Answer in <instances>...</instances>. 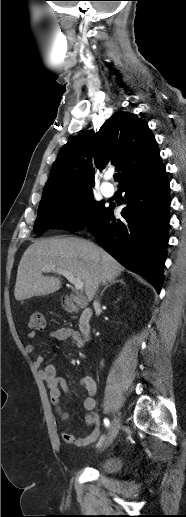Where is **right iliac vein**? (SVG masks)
Listing matches in <instances>:
<instances>
[{
  "instance_id": "63e3f726",
  "label": "right iliac vein",
  "mask_w": 186,
  "mask_h": 517,
  "mask_svg": "<svg viewBox=\"0 0 186 517\" xmlns=\"http://www.w3.org/2000/svg\"><path fill=\"white\" fill-rule=\"evenodd\" d=\"M120 425H121L120 418L118 416H115L113 418L111 426H110L108 438L105 441V443L103 444L102 449L108 447L113 442V440L116 438V436L119 432Z\"/></svg>"
}]
</instances>
